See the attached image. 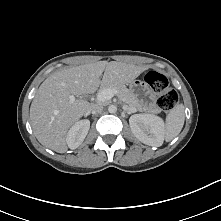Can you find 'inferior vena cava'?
Segmentation results:
<instances>
[{
	"instance_id": "1",
	"label": "inferior vena cava",
	"mask_w": 221,
	"mask_h": 221,
	"mask_svg": "<svg viewBox=\"0 0 221 221\" xmlns=\"http://www.w3.org/2000/svg\"><path fill=\"white\" fill-rule=\"evenodd\" d=\"M103 111V106L101 104H93L91 105L90 111L91 113H100Z\"/></svg>"
}]
</instances>
